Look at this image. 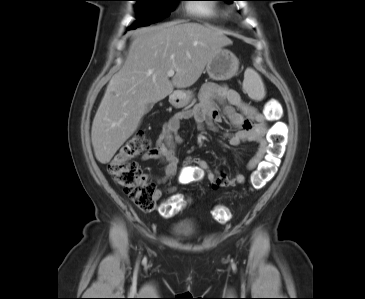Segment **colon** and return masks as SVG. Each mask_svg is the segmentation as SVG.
Segmentation results:
<instances>
[{
    "label": "colon",
    "instance_id": "1",
    "mask_svg": "<svg viewBox=\"0 0 365 299\" xmlns=\"http://www.w3.org/2000/svg\"><path fill=\"white\" fill-rule=\"evenodd\" d=\"M266 115L269 118H278V104L271 102ZM285 143L286 126L282 122H277L268 136L265 160L252 175L251 187L253 189H261L273 178L284 154ZM148 145L144 131L139 130L118 149L108 164V172L114 182L125 191L139 209L146 212L152 211L156 207L157 188L155 183L141 172L134 158L145 152ZM183 207V200L176 197L166 201L160 210L165 216H172L181 211ZM212 216L218 222L224 223L230 219L231 213L229 209L218 206L212 210Z\"/></svg>",
    "mask_w": 365,
    "mask_h": 299
}]
</instances>
